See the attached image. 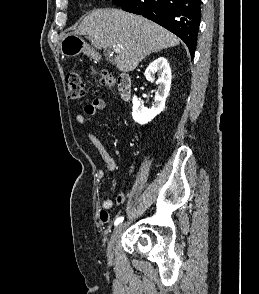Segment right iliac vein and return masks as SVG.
<instances>
[{
	"label": "right iliac vein",
	"instance_id": "obj_1",
	"mask_svg": "<svg viewBox=\"0 0 259 294\" xmlns=\"http://www.w3.org/2000/svg\"><path fill=\"white\" fill-rule=\"evenodd\" d=\"M124 226H125L124 224H119L114 229V231H113V233L111 235V238H110V241H109V244H108V251H107L109 259H112L115 242L117 241L119 235L121 234L122 230L124 229Z\"/></svg>",
	"mask_w": 259,
	"mask_h": 294
}]
</instances>
